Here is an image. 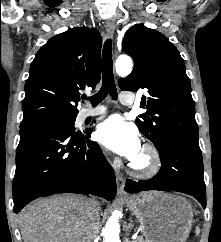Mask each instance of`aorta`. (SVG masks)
<instances>
[{"instance_id":"1","label":"aorta","mask_w":221,"mask_h":242,"mask_svg":"<svg viewBox=\"0 0 221 242\" xmlns=\"http://www.w3.org/2000/svg\"><path fill=\"white\" fill-rule=\"evenodd\" d=\"M132 60L128 56H120L117 58L115 67L119 76H127L132 71ZM120 226L118 223V213L113 212L108 219L105 227L102 229L103 242H121L119 239Z\"/></svg>"}]
</instances>
